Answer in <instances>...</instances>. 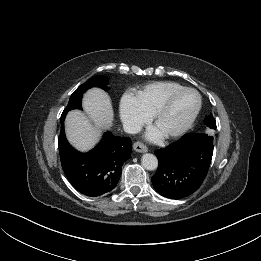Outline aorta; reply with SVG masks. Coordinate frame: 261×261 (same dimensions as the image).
Wrapping results in <instances>:
<instances>
[{"instance_id": "obj_1", "label": "aorta", "mask_w": 261, "mask_h": 261, "mask_svg": "<svg viewBox=\"0 0 261 261\" xmlns=\"http://www.w3.org/2000/svg\"><path fill=\"white\" fill-rule=\"evenodd\" d=\"M141 163L145 169L150 171L155 170L158 166L157 157L150 153H146L142 156Z\"/></svg>"}]
</instances>
